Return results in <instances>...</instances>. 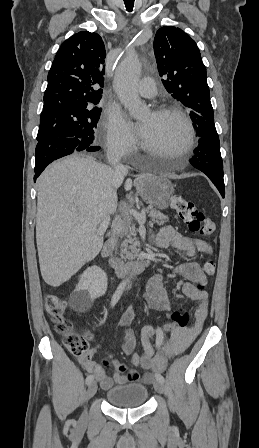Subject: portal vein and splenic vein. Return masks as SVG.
<instances>
[{
	"instance_id": "18ae733b",
	"label": "portal vein and splenic vein",
	"mask_w": 259,
	"mask_h": 448,
	"mask_svg": "<svg viewBox=\"0 0 259 448\" xmlns=\"http://www.w3.org/2000/svg\"><path fill=\"white\" fill-rule=\"evenodd\" d=\"M135 218H141V216H135ZM141 220H145V218H141ZM109 222H110V218H107V220H103L102 224H100V226L98 228V232H99L100 236H102V234H104L105 230H107V228L109 226Z\"/></svg>"
}]
</instances>
